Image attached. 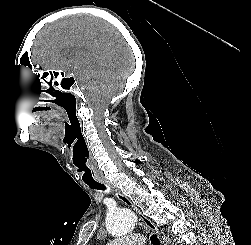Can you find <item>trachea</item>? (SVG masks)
I'll use <instances>...</instances> for the list:
<instances>
[{
  "mask_svg": "<svg viewBox=\"0 0 251 245\" xmlns=\"http://www.w3.org/2000/svg\"><path fill=\"white\" fill-rule=\"evenodd\" d=\"M88 185L92 189H98V190H105L106 189V187L101 183L94 182V183H88ZM150 240L153 245H160V241H159L157 235H152L150 237Z\"/></svg>",
  "mask_w": 251,
  "mask_h": 245,
  "instance_id": "trachea-1",
  "label": "trachea"
}]
</instances>
